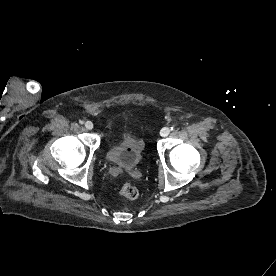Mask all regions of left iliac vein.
Wrapping results in <instances>:
<instances>
[{
    "instance_id": "obj_1",
    "label": "left iliac vein",
    "mask_w": 276,
    "mask_h": 276,
    "mask_svg": "<svg viewBox=\"0 0 276 276\" xmlns=\"http://www.w3.org/2000/svg\"><path fill=\"white\" fill-rule=\"evenodd\" d=\"M169 133H170V128H168V127H163V128L161 129V131H160V135H161L162 137L168 136Z\"/></svg>"
}]
</instances>
